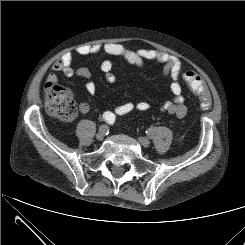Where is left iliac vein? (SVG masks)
Returning a JSON list of instances; mask_svg holds the SVG:
<instances>
[{
  "label": "left iliac vein",
  "instance_id": "left-iliac-vein-1",
  "mask_svg": "<svg viewBox=\"0 0 245 245\" xmlns=\"http://www.w3.org/2000/svg\"><path fill=\"white\" fill-rule=\"evenodd\" d=\"M139 142L144 147H149V145H150V140L146 137H139Z\"/></svg>",
  "mask_w": 245,
  "mask_h": 245
}]
</instances>
